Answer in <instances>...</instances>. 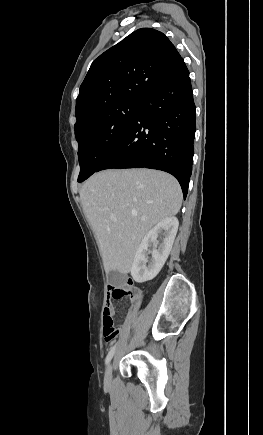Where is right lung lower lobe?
I'll return each instance as SVG.
<instances>
[{
  "label": "right lung lower lobe",
  "mask_w": 263,
  "mask_h": 435,
  "mask_svg": "<svg viewBox=\"0 0 263 435\" xmlns=\"http://www.w3.org/2000/svg\"><path fill=\"white\" fill-rule=\"evenodd\" d=\"M189 71L184 64L155 88L96 172L111 168H151L172 174L186 198L196 130Z\"/></svg>",
  "instance_id": "obj_1"
}]
</instances>
